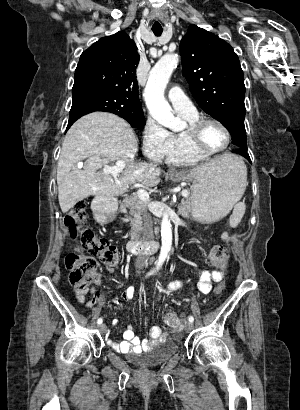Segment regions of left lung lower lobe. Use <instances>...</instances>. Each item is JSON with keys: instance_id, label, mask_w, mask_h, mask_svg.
Listing matches in <instances>:
<instances>
[{"instance_id": "obj_1", "label": "left lung lower lobe", "mask_w": 300, "mask_h": 410, "mask_svg": "<svg viewBox=\"0 0 300 410\" xmlns=\"http://www.w3.org/2000/svg\"><path fill=\"white\" fill-rule=\"evenodd\" d=\"M232 152L244 156V157L251 163V160H250V157H249V155H248V153H247V150H244V149H235V150H233Z\"/></svg>"}]
</instances>
